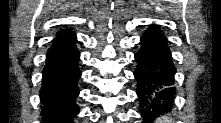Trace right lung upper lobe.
<instances>
[{
  "mask_svg": "<svg viewBox=\"0 0 221 123\" xmlns=\"http://www.w3.org/2000/svg\"><path fill=\"white\" fill-rule=\"evenodd\" d=\"M70 34H73V32L70 29H66V30L58 32L57 33V37H59V36H67V35H70Z\"/></svg>",
  "mask_w": 221,
  "mask_h": 123,
  "instance_id": "1",
  "label": "right lung upper lobe"
}]
</instances>
